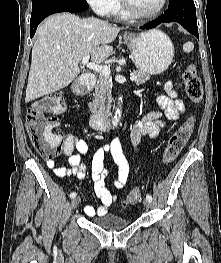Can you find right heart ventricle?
Here are the masks:
<instances>
[{
  "label": "right heart ventricle",
  "instance_id": "1",
  "mask_svg": "<svg viewBox=\"0 0 221 263\" xmlns=\"http://www.w3.org/2000/svg\"><path fill=\"white\" fill-rule=\"evenodd\" d=\"M113 13L119 17L120 19H123V20H128L131 18V16L124 10L123 6L117 2V5L113 11Z\"/></svg>",
  "mask_w": 221,
  "mask_h": 263
}]
</instances>
